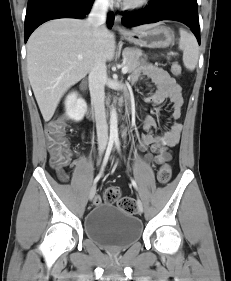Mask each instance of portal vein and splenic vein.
<instances>
[{
    "instance_id": "1",
    "label": "portal vein and splenic vein",
    "mask_w": 231,
    "mask_h": 281,
    "mask_svg": "<svg viewBox=\"0 0 231 281\" xmlns=\"http://www.w3.org/2000/svg\"><path fill=\"white\" fill-rule=\"evenodd\" d=\"M128 72V67L127 66H123L122 67V73L126 74Z\"/></svg>"
}]
</instances>
